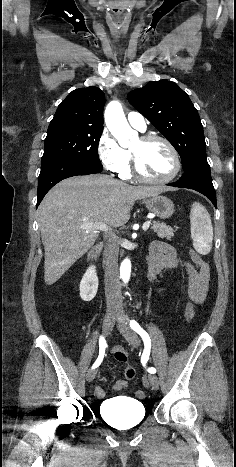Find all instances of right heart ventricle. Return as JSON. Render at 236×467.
<instances>
[{"label":"right heart ventricle","instance_id":"right-heart-ventricle-1","mask_svg":"<svg viewBox=\"0 0 236 467\" xmlns=\"http://www.w3.org/2000/svg\"><path fill=\"white\" fill-rule=\"evenodd\" d=\"M128 154H129L128 164L126 165V167L123 170L118 172L120 174L121 178H123V179H130L131 178V168H130L131 155H130L129 152H128Z\"/></svg>","mask_w":236,"mask_h":467}]
</instances>
